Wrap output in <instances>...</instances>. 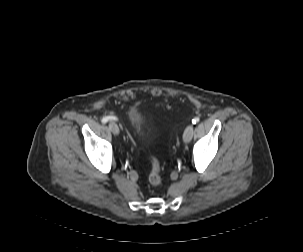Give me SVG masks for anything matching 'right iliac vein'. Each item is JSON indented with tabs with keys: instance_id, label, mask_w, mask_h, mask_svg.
<instances>
[{
	"instance_id": "obj_1",
	"label": "right iliac vein",
	"mask_w": 303,
	"mask_h": 252,
	"mask_svg": "<svg viewBox=\"0 0 303 252\" xmlns=\"http://www.w3.org/2000/svg\"><path fill=\"white\" fill-rule=\"evenodd\" d=\"M110 131L114 134V135H118L119 134V127L115 122H110L108 125Z\"/></svg>"
}]
</instances>
